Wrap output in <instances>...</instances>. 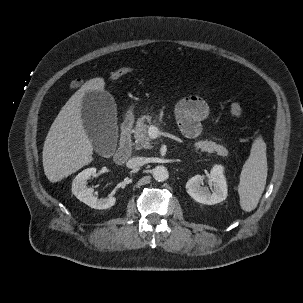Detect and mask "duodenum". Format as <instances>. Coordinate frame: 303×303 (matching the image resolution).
<instances>
[{
	"label": "duodenum",
	"mask_w": 303,
	"mask_h": 303,
	"mask_svg": "<svg viewBox=\"0 0 303 303\" xmlns=\"http://www.w3.org/2000/svg\"><path fill=\"white\" fill-rule=\"evenodd\" d=\"M133 122L130 119H126L121 127V136L119 146L114 154V160L118 164H123L126 162L132 152V142H131V130Z\"/></svg>",
	"instance_id": "1"
}]
</instances>
